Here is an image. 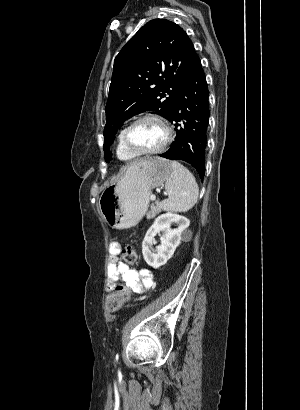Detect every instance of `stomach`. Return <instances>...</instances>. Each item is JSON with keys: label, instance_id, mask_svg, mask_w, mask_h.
Masks as SVG:
<instances>
[{"label": "stomach", "instance_id": "obj_1", "mask_svg": "<svg viewBox=\"0 0 300 410\" xmlns=\"http://www.w3.org/2000/svg\"><path fill=\"white\" fill-rule=\"evenodd\" d=\"M171 173V162L159 157L128 167L122 178L100 196L99 208L106 222L116 229L135 226L147 211L152 189L161 186Z\"/></svg>", "mask_w": 300, "mask_h": 410}]
</instances>
